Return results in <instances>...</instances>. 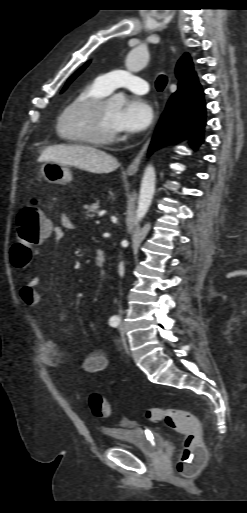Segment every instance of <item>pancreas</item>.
<instances>
[{
  "label": "pancreas",
  "instance_id": "cf45deb5",
  "mask_svg": "<svg viewBox=\"0 0 247 513\" xmlns=\"http://www.w3.org/2000/svg\"><path fill=\"white\" fill-rule=\"evenodd\" d=\"M84 209L86 210L85 211V216H86L85 218L86 219L92 218V217L95 216V214L100 212L99 204L98 203H92L90 205H85Z\"/></svg>",
  "mask_w": 247,
  "mask_h": 513
}]
</instances>
